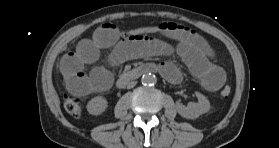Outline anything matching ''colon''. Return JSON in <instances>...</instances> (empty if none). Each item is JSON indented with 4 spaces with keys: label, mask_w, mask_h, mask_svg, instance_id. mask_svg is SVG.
Here are the masks:
<instances>
[{
    "label": "colon",
    "mask_w": 279,
    "mask_h": 148,
    "mask_svg": "<svg viewBox=\"0 0 279 148\" xmlns=\"http://www.w3.org/2000/svg\"><path fill=\"white\" fill-rule=\"evenodd\" d=\"M161 26H140V27H135L132 29H120L118 28L120 34L123 37H142L146 36L150 33H154L157 30H161ZM231 94V88L230 86H225L221 90V97L223 99H226L230 96ZM64 107L67 113H69L72 116H79L82 111V106H81V101L78 97L70 96V95H65L64 96Z\"/></svg>",
    "instance_id": "1"
}]
</instances>
